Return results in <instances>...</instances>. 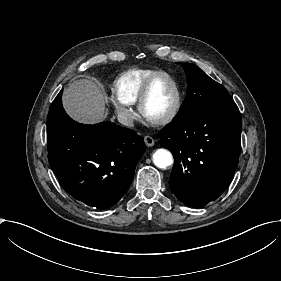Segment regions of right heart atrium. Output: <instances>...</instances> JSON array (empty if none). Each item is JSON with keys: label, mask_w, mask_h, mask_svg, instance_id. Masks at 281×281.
Instances as JSON below:
<instances>
[{"label": "right heart atrium", "mask_w": 281, "mask_h": 281, "mask_svg": "<svg viewBox=\"0 0 281 281\" xmlns=\"http://www.w3.org/2000/svg\"><path fill=\"white\" fill-rule=\"evenodd\" d=\"M111 102L117 115L124 123H131L135 119L136 113L129 105L114 97L111 98Z\"/></svg>", "instance_id": "1"}]
</instances>
